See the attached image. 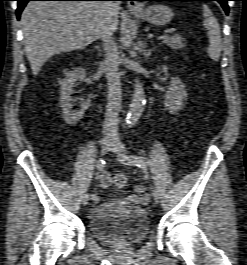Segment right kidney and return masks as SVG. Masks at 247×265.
I'll return each instance as SVG.
<instances>
[{"label": "right kidney", "mask_w": 247, "mask_h": 265, "mask_svg": "<svg viewBox=\"0 0 247 265\" xmlns=\"http://www.w3.org/2000/svg\"><path fill=\"white\" fill-rule=\"evenodd\" d=\"M86 75L85 69L76 68L69 72L66 77L60 81V107L62 108V117L69 125H74L79 122L90 106L89 99H81L80 109L73 110L72 102L74 99L71 97L74 93L73 87H75L76 81L84 80Z\"/></svg>", "instance_id": "1"}]
</instances>
